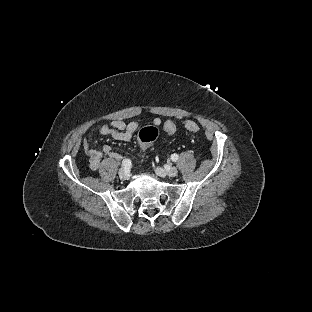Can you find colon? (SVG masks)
<instances>
[{"instance_id": "1", "label": "colon", "mask_w": 312, "mask_h": 312, "mask_svg": "<svg viewBox=\"0 0 312 312\" xmlns=\"http://www.w3.org/2000/svg\"><path fill=\"white\" fill-rule=\"evenodd\" d=\"M164 129L168 133H172L175 131L176 126L174 122L169 121L165 124ZM185 130L187 132H197L199 130V125L195 122H188L185 125ZM158 135V131L154 126H149L143 128L137 135L138 140L142 145L150 144L153 142Z\"/></svg>"}]
</instances>
